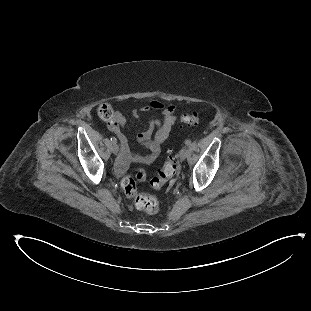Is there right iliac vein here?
<instances>
[{
    "mask_svg": "<svg viewBox=\"0 0 311 311\" xmlns=\"http://www.w3.org/2000/svg\"><path fill=\"white\" fill-rule=\"evenodd\" d=\"M112 152L117 155L119 152V146L116 143H113Z\"/></svg>",
    "mask_w": 311,
    "mask_h": 311,
    "instance_id": "63e3f726",
    "label": "right iliac vein"
}]
</instances>
